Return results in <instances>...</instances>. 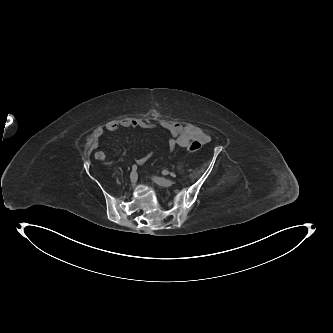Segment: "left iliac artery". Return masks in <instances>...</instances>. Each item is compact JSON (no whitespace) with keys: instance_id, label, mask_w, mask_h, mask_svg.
I'll return each instance as SVG.
<instances>
[{"instance_id":"left-iliac-artery-1","label":"left iliac artery","mask_w":333,"mask_h":333,"mask_svg":"<svg viewBox=\"0 0 333 333\" xmlns=\"http://www.w3.org/2000/svg\"><path fill=\"white\" fill-rule=\"evenodd\" d=\"M162 174H163V175H168V174H169V171H168V170H163V171H162ZM173 175H174V174L172 173L171 176H173Z\"/></svg>"}]
</instances>
